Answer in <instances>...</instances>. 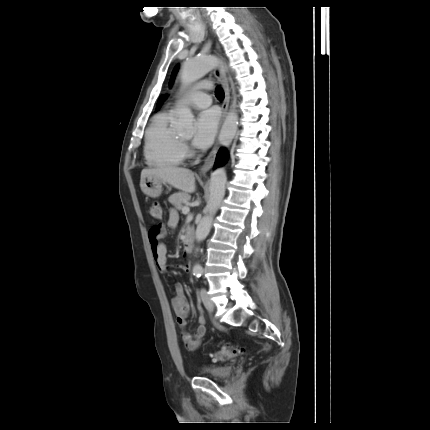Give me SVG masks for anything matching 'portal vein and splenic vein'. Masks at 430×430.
<instances>
[{
  "mask_svg": "<svg viewBox=\"0 0 430 430\" xmlns=\"http://www.w3.org/2000/svg\"><path fill=\"white\" fill-rule=\"evenodd\" d=\"M189 211H190V208H189L188 206H184V207L182 208V212H183L184 214H188V213H189Z\"/></svg>",
  "mask_w": 430,
  "mask_h": 430,
  "instance_id": "obj_1",
  "label": "portal vein and splenic vein"
}]
</instances>
